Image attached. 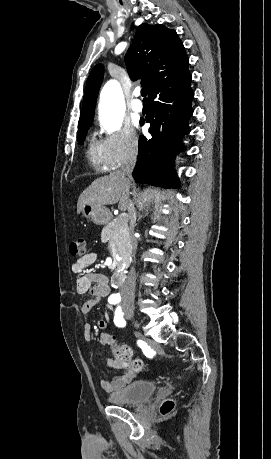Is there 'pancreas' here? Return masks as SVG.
<instances>
[{
    "instance_id": "1",
    "label": "pancreas",
    "mask_w": 271,
    "mask_h": 459,
    "mask_svg": "<svg viewBox=\"0 0 271 459\" xmlns=\"http://www.w3.org/2000/svg\"><path fill=\"white\" fill-rule=\"evenodd\" d=\"M128 218L126 216H119L108 226L102 229V239H108L111 245L118 247V254L125 256L127 254V245L129 241V228L127 226Z\"/></svg>"
}]
</instances>
